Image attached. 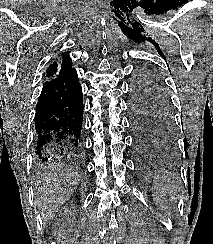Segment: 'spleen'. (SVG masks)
<instances>
[{"label": "spleen", "instance_id": "spleen-1", "mask_svg": "<svg viewBox=\"0 0 213 244\" xmlns=\"http://www.w3.org/2000/svg\"><path fill=\"white\" fill-rule=\"evenodd\" d=\"M162 192L164 194V198L161 200V199H157L156 203L159 205V209L166 212V213H169L170 211V208L168 206V201L169 200H166L167 197H170L171 200H173V196L176 192V185H175V181L172 180L171 178H164L162 180ZM170 200V201H171Z\"/></svg>", "mask_w": 213, "mask_h": 244}]
</instances>
